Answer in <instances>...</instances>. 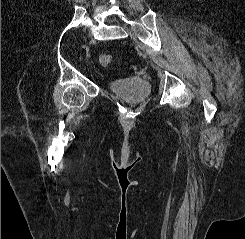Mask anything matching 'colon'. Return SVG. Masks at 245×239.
Wrapping results in <instances>:
<instances>
[{
	"instance_id": "5ec220e1",
	"label": "colon",
	"mask_w": 245,
	"mask_h": 239,
	"mask_svg": "<svg viewBox=\"0 0 245 239\" xmlns=\"http://www.w3.org/2000/svg\"><path fill=\"white\" fill-rule=\"evenodd\" d=\"M100 63L102 65H109L112 61V56L110 54H101L99 57Z\"/></svg>"
}]
</instances>
